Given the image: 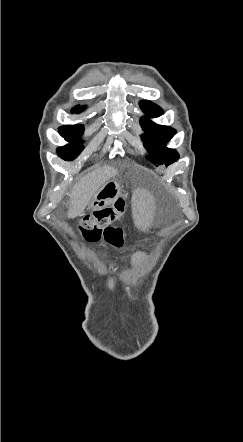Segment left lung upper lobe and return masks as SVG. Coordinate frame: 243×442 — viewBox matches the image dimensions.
Here are the masks:
<instances>
[{
  "label": "left lung upper lobe",
  "instance_id": "left-lung-upper-lobe-1",
  "mask_svg": "<svg viewBox=\"0 0 243 442\" xmlns=\"http://www.w3.org/2000/svg\"><path fill=\"white\" fill-rule=\"evenodd\" d=\"M140 107L148 117L156 118L163 114V110L150 101H142ZM141 127L145 131L142 140L148 150V158L151 162L168 166L179 158L175 150L165 146L175 135L176 131L174 129L169 126L155 124L145 117L141 119Z\"/></svg>",
  "mask_w": 243,
  "mask_h": 442
}]
</instances>
